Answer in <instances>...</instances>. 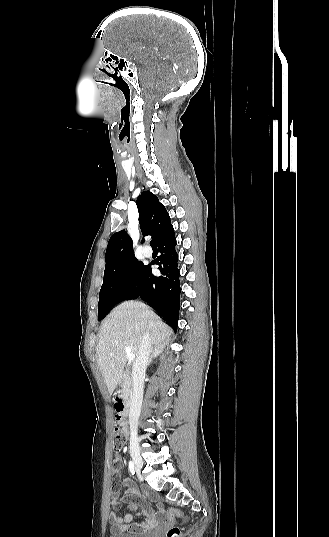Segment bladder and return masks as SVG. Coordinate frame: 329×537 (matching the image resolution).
Listing matches in <instances>:
<instances>
[{"mask_svg":"<svg viewBox=\"0 0 329 537\" xmlns=\"http://www.w3.org/2000/svg\"><path fill=\"white\" fill-rule=\"evenodd\" d=\"M109 537H155V533L152 531H144V532H137V533H131V532H110Z\"/></svg>","mask_w":329,"mask_h":537,"instance_id":"obj_1","label":"bladder"}]
</instances>
